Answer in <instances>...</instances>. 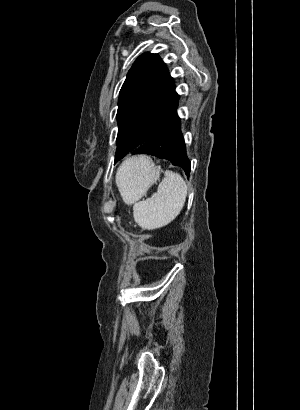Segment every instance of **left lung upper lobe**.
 I'll list each match as a JSON object with an SVG mask.
<instances>
[{
    "mask_svg": "<svg viewBox=\"0 0 300 410\" xmlns=\"http://www.w3.org/2000/svg\"><path fill=\"white\" fill-rule=\"evenodd\" d=\"M177 105L174 81L161 58L151 53L138 57L119 94L115 163L141 147Z\"/></svg>",
    "mask_w": 300,
    "mask_h": 410,
    "instance_id": "obj_1",
    "label": "left lung upper lobe"
}]
</instances>
